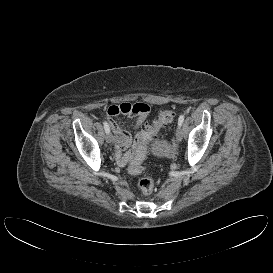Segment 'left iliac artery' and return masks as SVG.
Returning <instances> with one entry per match:
<instances>
[{
    "label": "left iliac artery",
    "mask_w": 273,
    "mask_h": 273,
    "mask_svg": "<svg viewBox=\"0 0 273 273\" xmlns=\"http://www.w3.org/2000/svg\"><path fill=\"white\" fill-rule=\"evenodd\" d=\"M183 121H184V115H180L179 118H178V125H182L183 124Z\"/></svg>",
    "instance_id": "44dca946"
}]
</instances>
